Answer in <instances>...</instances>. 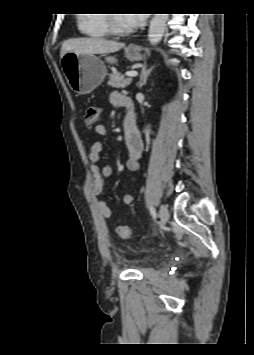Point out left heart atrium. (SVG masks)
<instances>
[{
    "mask_svg": "<svg viewBox=\"0 0 254 355\" xmlns=\"http://www.w3.org/2000/svg\"><path fill=\"white\" fill-rule=\"evenodd\" d=\"M131 27H140L145 24L147 19L146 13H128L124 16Z\"/></svg>",
    "mask_w": 254,
    "mask_h": 355,
    "instance_id": "left-heart-atrium-1",
    "label": "left heart atrium"
}]
</instances>
